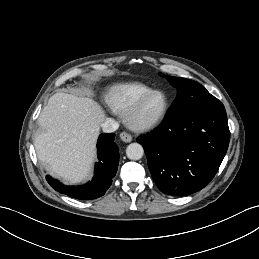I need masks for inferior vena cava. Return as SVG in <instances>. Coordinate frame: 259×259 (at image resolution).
Instances as JSON below:
<instances>
[{
	"instance_id": "obj_1",
	"label": "inferior vena cava",
	"mask_w": 259,
	"mask_h": 259,
	"mask_svg": "<svg viewBox=\"0 0 259 259\" xmlns=\"http://www.w3.org/2000/svg\"><path fill=\"white\" fill-rule=\"evenodd\" d=\"M100 126L103 132L111 133L118 129L119 124L114 119L106 118Z\"/></svg>"
}]
</instances>
